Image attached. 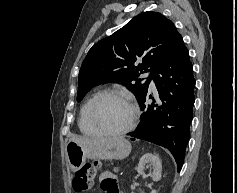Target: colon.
<instances>
[{
    "label": "colon",
    "mask_w": 237,
    "mask_h": 193,
    "mask_svg": "<svg viewBox=\"0 0 237 193\" xmlns=\"http://www.w3.org/2000/svg\"><path fill=\"white\" fill-rule=\"evenodd\" d=\"M96 170L97 165L87 163L76 171L72 183L76 193H83L92 186Z\"/></svg>",
    "instance_id": "1"
}]
</instances>
